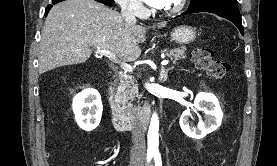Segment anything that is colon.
<instances>
[{
    "label": "colon",
    "mask_w": 277,
    "mask_h": 166,
    "mask_svg": "<svg viewBox=\"0 0 277 166\" xmlns=\"http://www.w3.org/2000/svg\"><path fill=\"white\" fill-rule=\"evenodd\" d=\"M190 57L199 70L213 79H224L230 72V65L215 58L212 50L207 47L195 48Z\"/></svg>",
    "instance_id": "obj_1"
}]
</instances>
